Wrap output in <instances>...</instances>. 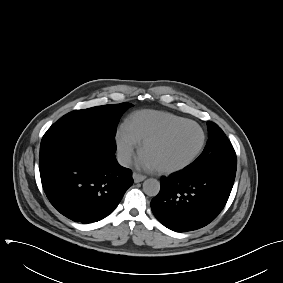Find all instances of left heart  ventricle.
I'll return each instance as SVG.
<instances>
[{"mask_svg": "<svg viewBox=\"0 0 283 283\" xmlns=\"http://www.w3.org/2000/svg\"><path fill=\"white\" fill-rule=\"evenodd\" d=\"M201 141L200 131L193 125H182L161 141L148 144L143 153L158 168L172 167L187 160Z\"/></svg>", "mask_w": 283, "mask_h": 283, "instance_id": "b2bd125f", "label": "left heart ventricle"}]
</instances>
